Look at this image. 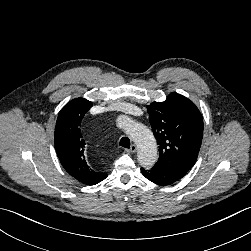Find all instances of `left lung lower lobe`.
I'll list each match as a JSON object with an SVG mask.
<instances>
[{
    "label": "left lung lower lobe",
    "instance_id": "0a47b994",
    "mask_svg": "<svg viewBox=\"0 0 251 251\" xmlns=\"http://www.w3.org/2000/svg\"><path fill=\"white\" fill-rule=\"evenodd\" d=\"M141 172L148 180L159 185H170L185 175L181 171L155 165L150 170L141 168Z\"/></svg>",
    "mask_w": 251,
    "mask_h": 251
}]
</instances>
